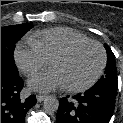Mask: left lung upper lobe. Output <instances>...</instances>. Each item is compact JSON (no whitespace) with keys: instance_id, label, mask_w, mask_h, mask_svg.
Listing matches in <instances>:
<instances>
[{"instance_id":"1","label":"left lung upper lobe","mask_w":123,"mask_h":123,"mask_svg":"<svg viewBox=\"0 0 123 123\" xmlns=\"http://www.w3.org/2000/svg\"><path fill=\"white\" fill-rule=\"evenodd\" d=\"M105 49L107 51V65L105 69V75L102 76L93 87H106L117 90L115 56L107 44H105Z\"/></svg>"}]
</instances>
